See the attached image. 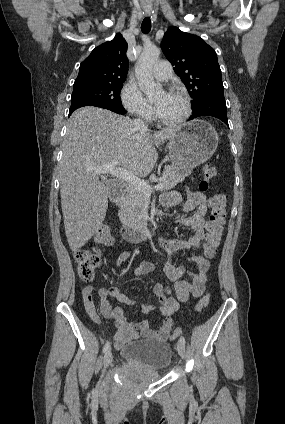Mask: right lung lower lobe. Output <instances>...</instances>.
I'll use <instances>...</instances> for the list:
<instances>
[{
    "instance_id": "98d812e1",
    "label": "right lung lower lobe",
    "mask_w": 285,
    "mask_h": 424,
    "mask_svg": "<svg viewBox=\"0 0 285 424\" xmlns=\"http://www.w3.org/2000/svg\"><path fill=\"white\" fill-rule=\"evenodd\" d=\"M84 106H96V107L108 109V110L113 111V112L118 113V114H125L126 113V111L124 109L122 110V109L114 108V107L106 105V104H101V103H97V102H93V101H87V100H78V101L71 102V107H70V110H69V116L72 114L73 111H75L76 109H78L80 107H84Z\"/></svg>"
}]
</instances>
